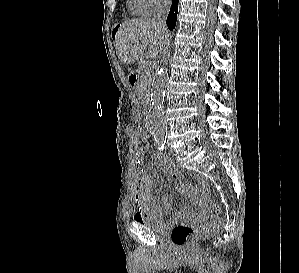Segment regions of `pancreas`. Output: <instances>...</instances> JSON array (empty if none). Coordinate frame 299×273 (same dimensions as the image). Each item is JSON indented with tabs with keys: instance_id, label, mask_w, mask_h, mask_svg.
Returning a JSON list of instances; mask_svg holds the SVG:
<instances>
[{
	"instance_id": "1",
	"label": "pancreas",
	"mask_w": 299,
	"mask_h": 273,
	"mask_svg": "<svg viewBox=\"0 0 299 273\" xmlns=\"http://www.w3.org/2000/svg\"><path fill=\"white\" fill-rule=\"evenodd\" d=\"M143 75L137 83L138 93H146L149 87V77L151 76V69L147 64L142 65Z\"/></svg>"
}]
</instances>
